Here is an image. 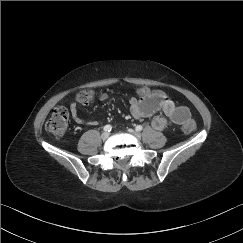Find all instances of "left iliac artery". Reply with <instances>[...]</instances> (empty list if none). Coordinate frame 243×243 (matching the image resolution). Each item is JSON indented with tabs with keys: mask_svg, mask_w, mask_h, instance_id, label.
<instances>
[{
	"mask_svg": "<svg viewBox=\"0 0 243 243\" xmlns=\"http://www.w3.org/2000/svg\"><path fill=\"white\" fill-rule=\"evenodd\" d=\"M143 127L141 125L136 126V131H141Z\"/></svg>",
	"mask_w": 243,
	"mask_h": 243,
	"instance_id": "left-iliac-artery-1",
	"label": "left iliac artery"
}]
</instances>
